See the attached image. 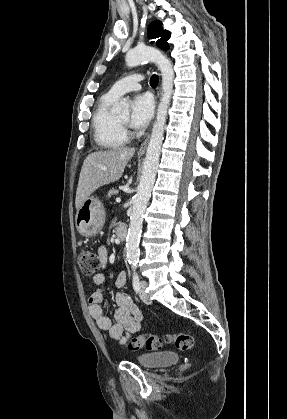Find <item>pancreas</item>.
<instances>
[{"label": "pancreas", "mask_w": 287, "mask_h": 419, "mask_svg": "<svg viewBox=\"0 0 287 419\" xmlns=\"http://www.w3.org/2000/svg\"><path fill=\"white\" fill-rule=\"evenodd\" d=\"M118 190L116 188H112L111 190H109L108 194H107V198H110L111 196H113L114 194H117Z\"/></svg>", "instance_id": "obj_1"}]
</instances>
